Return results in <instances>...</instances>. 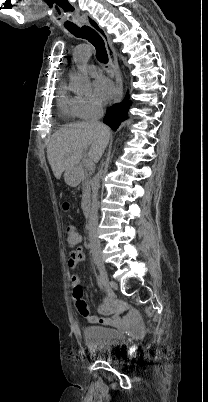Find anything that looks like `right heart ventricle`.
I'll use <instances>...</instances> for the list:
<instances>
[{"mask_svg":"<svg viewBox=\"0 0 208 402\" xmlns=\"http://www.w3.org/2000/svg\"><path fill=\"white\" fill-rule=\"evenodd\" d=\"M58 106L60 111L70 120L72 124L80 123L79 111L77 106V96L69 93L66 84H62L58 94Z\"/></svg>","mask_w":208,"mask_h":402,"instance_id":"e07e8e85","label":"right heart ventricle"}]
</instances>
